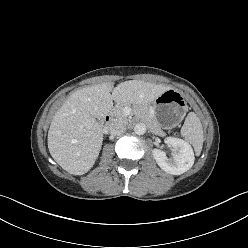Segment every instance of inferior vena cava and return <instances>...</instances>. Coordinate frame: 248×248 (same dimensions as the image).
I'll list each match as a JSON object with an SVG mask.
<instances>
[{
  "mask_svg": "<svg viewBox=\"0 0 248 248\" xmlns=\"http://www.w3.org/2000/svg\"><path fill=\"white\" fill-rule=\"evenodd\" d=\"M108 133L111 135H121L126 131L125 126L120 122H112L108 126Z\"/></svg>",
  "mask_w": 248,
  "mask_h": 248,
  "instance_id": "1",
  "label": "inferior vena cava"
}]
</instances>
